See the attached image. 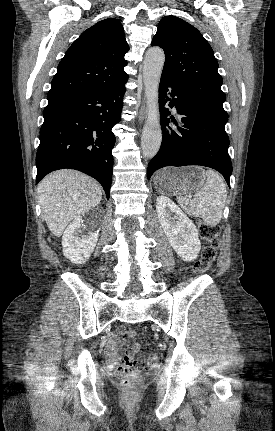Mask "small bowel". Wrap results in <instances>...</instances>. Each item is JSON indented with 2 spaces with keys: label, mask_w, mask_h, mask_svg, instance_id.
<instances>
[{
  "label": "small bowel",
  "mask_w": 275,
  "mask_h": 431,
  "mask_svg": "<svg viewBox=\"0 0 275 431\" xmlns=\"http://www.w3.org/2000/svg\"><path fill=\"white\" fill-rule=\"evenodd\" d=\"M127 335L126 330L124 328H119L115 335L110 339V341L107 344L106 347V354L108 357V364L111 368H115L118 363V357H117V346L119 345L122 338H124ZM133 351L131 348H128L126 350V355L124 357V362H132L133 361Z\"/></svg>",
  "instance_id": "1"
}]
</instances>
